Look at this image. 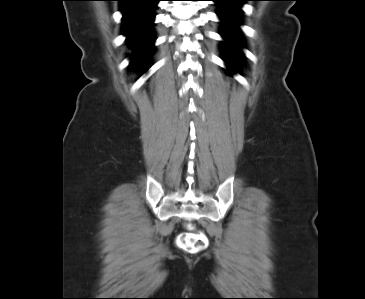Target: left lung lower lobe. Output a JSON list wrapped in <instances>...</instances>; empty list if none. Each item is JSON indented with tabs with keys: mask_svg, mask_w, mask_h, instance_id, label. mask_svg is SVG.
I'll list each match as a JSON object with an SVG mask.
<instances>
[{
	"mask_svg": "<svg viewBox=\"0 0 365 299\" xmlns=\"http://www.w3.org/2000/svg\"><path fill=\"white\" fill-rule=\"evenodd\" d=\"M217 5V15L221 20V35L226 40L222 45V55L232 72H239L242 54L237 51L238 43L242 41L239 25L241 24V6L249 0H212ZM230 74V73H229ZM231 75V74H230Z\"/></svg>",
	"mask_w": 365,
	"mask_h": 299,
	"instance_id": "1",
	"label": "left lung lower lobe"
}]
</instances>
